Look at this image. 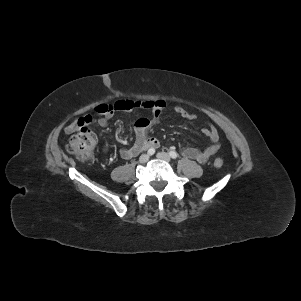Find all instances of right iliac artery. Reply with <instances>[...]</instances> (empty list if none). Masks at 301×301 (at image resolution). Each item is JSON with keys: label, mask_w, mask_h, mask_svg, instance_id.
<instances>
[{"label": "right iliac artery", "mask_w": 301, "mask_h": 301, "mask_svg": "<svg viewBox=\"0 0 301 301\" xmlns=\"http://www.w3.org/2000/svg\"><path fill=\"white\" fill-rule=\"evenodd\" d=\"M154 153H155V149L150 148V149L148 150V154H149V155H153Z\"/></svg>", "instance_id": "82829eb1"}]
</instances>
